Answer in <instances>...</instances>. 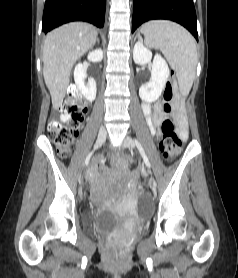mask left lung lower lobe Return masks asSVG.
I'll return each instance as SVG.
<instances>
[{
  "label": "left lung lower lobe",
  "mask_w": 238,
  "mask_h": 278,
  "mask_svg": "<svg viewBox=\"0 0 238 278\" xmlns=\"http://www.w3.org/2000/svg\"><path fill=\"white\" fill-rule=\"evenodd\" d=\"M154 19L175 21L187 28L198 41L193 0H133L132 32Z\"/></svg>",
  "instance_id": "1"
}]
</instances>
